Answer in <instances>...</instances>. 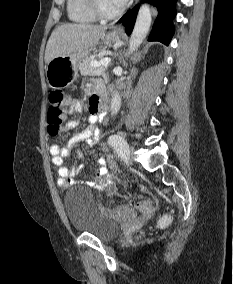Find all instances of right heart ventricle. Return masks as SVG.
<instances>
[{
  "mask_svg": "<svg viewBox=\"0 0 233 284\" xmlns=\"http://www.w3.org/2000/svg\"><path fill=\"white\" fill-rule=\"evenodd\" d=\"M66 9L69 19L76 23L88 24L97 19L88 0H67Z\"/></svg>",
  "mask_w": 233,
  "mask_h": 284,
  "instance_id": "e07e8e85",
  "label": "right heart ventricle"
}]
</instances>
